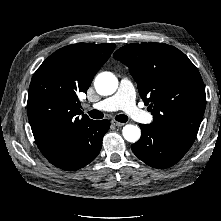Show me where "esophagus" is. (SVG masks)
<instances>
[{
	"instance_id": "esophagus-1",
	"label": "esophagus",
	"mask_w": 221,
	"mask_h": 221,
	"mask_svg": "<svg viewBox=\"0 0 221 221\" xmlns=\"http://www.w3.org/2000/svg\"><path fill=\"white\" fill-rule=\"evenodd\" d=\"M111 123L114 125V126H117V127H122L125 125V123H121V122H118L116 120H112Z\"/></svg>"
}]
</instances>
